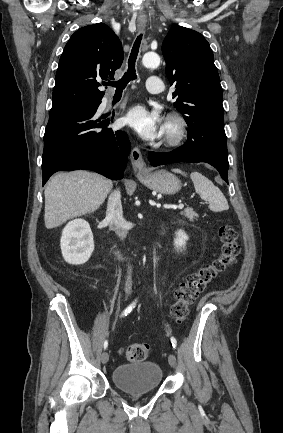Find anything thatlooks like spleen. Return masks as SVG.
Instances as JSON below:
<instances>
[{"label":"spleen","mask_w":283,"mask_h":433,"mask_svg":"<svg viewBox=\"0 0 283 433\" xmlns=\"http://www.w3.org/2000/svg\"><path fill=\"white\" fill-rule=\"evenodd\" d=\"M173 172H181L180 168H172ZM185 176V174H184ZM191 180L194 182L195 190L200 194L203 200H208L210 210L220 212V210H228L229 204L220 188L213 184L212 180L203 176L201 172H191Z\"/></svg>","instance_id":"1"}]
</instances>
